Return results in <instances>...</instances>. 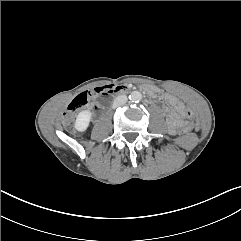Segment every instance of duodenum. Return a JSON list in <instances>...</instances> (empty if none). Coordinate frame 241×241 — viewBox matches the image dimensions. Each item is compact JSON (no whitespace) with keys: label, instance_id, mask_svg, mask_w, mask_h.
Masks as SVG:
<instances>
[{"label":"duodenum","instance_id":"1","mask_svg":"<svg viewBox=\"0 0 241 241\" xmlns=\"http://www.w3.org/2000/svg\"><path fill=\"white\" fill-rule=\"evenodd\" d=\"M114 91H115V92H118V93H122L123 91H125V89L122 88V87H117V88H115Z\"/></svg>","mask_w":241,"mask_h":241}]
</instances>
